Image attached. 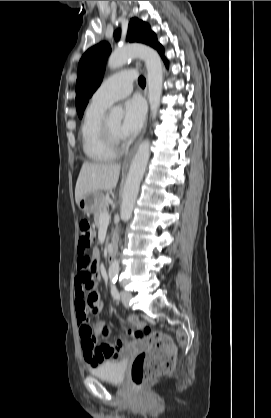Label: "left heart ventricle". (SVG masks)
<instances>
[{"label":"left heart ventricle","instance_id":"b2bd125f","mask_svg":"<svg viewBox=\"0 0 271 418\" xmlns=\"http://www.w3.org/2000/svg\"><path fill=\"white\" fill-rule=\"evenodd\" d=\"M108 126L110 129L117 135H120L121 121L120 120H111L108 121Z\"/></svg>","mask_w":271,"mask_h":418}]
</instances>
